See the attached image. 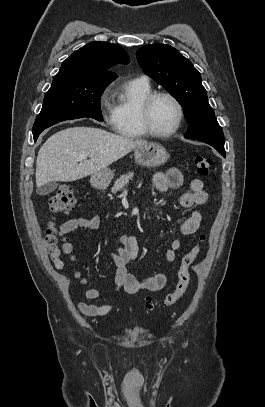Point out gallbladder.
Returning a JSON list of instances; mask_svg holds the SVG:
<instances>
[{"mask_svg":"<svg viewBox=\"0 0 265 407\" xmlns=\"http://www.w3.org/2000/svg\"><path fill=\"white\" fill-rule=\"evenodd\" d=\"M57 186H58V184L56 181H51V182L44 184L41 187H38L36 192H37V194L42 195V196L49 195L50 193L55 191Z\"/></svg>","mask_w":265,"mask_h":407,"instance_id":"bac80fb5","label":"gallbladder"}]
</instances>
